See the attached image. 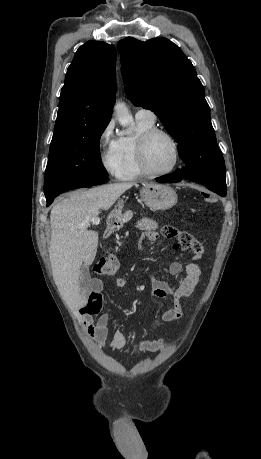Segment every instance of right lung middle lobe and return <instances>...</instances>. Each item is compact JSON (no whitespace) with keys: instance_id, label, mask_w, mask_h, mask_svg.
Wrapping results in <instances>:
<instances>
[{"instance_id":"1","label":"right lung middle lobe","mask_w":261,"mask_h":459,"mask_svg":"<svg viewBox=\"0 0 261 459\" xmlns=\"http://www.w3.org/2000/svg\"><path fill=\"white\" fill-rule=\"evenodd\" d=\"M108 123L52 138L44 177L46 198L74 185L108 178L98 148Z\"/></svg>"}]
</instances>
